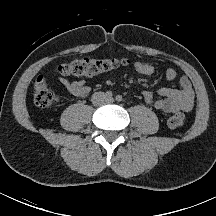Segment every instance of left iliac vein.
Listing matches in <instances>:
<instances>
[{
	"label": "left iliac vein",
	"mask_w": 216,
	"mask_h": 216,
	"mask_svg": "<svg viewBox=\"0 0 216 216\" xmlns=\"http://www.w3.org/2000/svg\"><path fill=\"white\" fill-rule=\"evenodd\" d=\"M109 101H110V102H112V101H113V99H109Z\"/></svg>",
	"instance_id": "left-iliac-vein-1"
}]
</instances>
